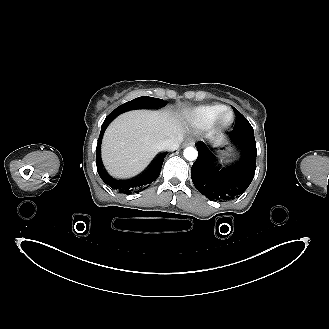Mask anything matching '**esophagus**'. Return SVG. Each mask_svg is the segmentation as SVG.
I'll return each instance as SVG.
<instances>
[{"mask_svg": "<svg viewBox=\"0 0 329 329\" xmlns=\"http://www.w3.org/2000/svg\"><path fill=\"white\" fill-rule=\"evenodd\" d=\"M189 145H194V141L193 140H187L184 142L183 146H189Z\"/></svg>", "mask_w": 329, "mask_h": 329, "instance_id": "34e87169", "label": "esophagus"}]
</instances>
